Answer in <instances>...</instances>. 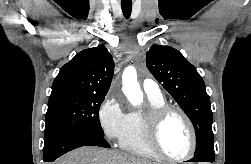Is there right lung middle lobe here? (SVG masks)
<instances>
[{
  "label": "right lung middle lobe",
  "instance_id": "obj_1",
  "mask_svg": "<svg viewBox=\"0 0 251 164\" xmlns=\"http://www.w3.org/2000/svg\"><path fill=\"white\" fill-rule=\"evenodd\" d=\"M105 95L55 92L51 93L46 113L45 135L57 129L82 130L103 136L99 108Z\"/></svg>",
  "mask_w": 251,
  "mask_h": 164
}]
</instances>
